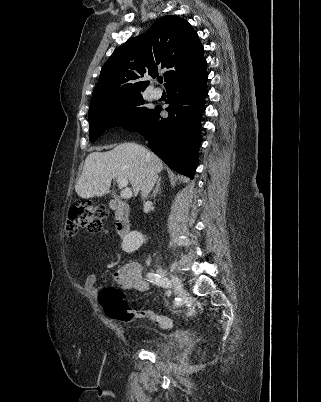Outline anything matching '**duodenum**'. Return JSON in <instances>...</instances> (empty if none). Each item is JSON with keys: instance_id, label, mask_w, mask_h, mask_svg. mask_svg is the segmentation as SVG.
Instances as JSON below:
<instances>
[{"instance_id": "duodenum-1", "label": "duodenum", "mask_w": 321, "mask_h": 402, "mask_svg": "<svg viewBox=\"0 0 321 402\" xmlns=\"http://www.w3.org/2000/svg\"><path fill=\"white\" fill-rule=\"evenodd\" d=\"M108 207L115 214V230L120 237H126L131 230L128 205L118 199H112L108 202Z\"/></svg>"}]
</instances>
